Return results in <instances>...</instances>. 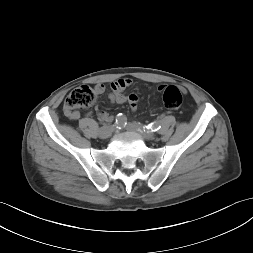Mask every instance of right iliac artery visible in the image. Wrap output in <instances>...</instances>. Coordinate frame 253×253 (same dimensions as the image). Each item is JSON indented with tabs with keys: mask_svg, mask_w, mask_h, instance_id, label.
Returning a JSON list of instances; mask_svg holds the SVG:
<instances>
[{
	"mask_svg": "<svg viewBox=\"0 0 253 253\" xmlns=\"http://www.w3.org/2000/svg\"><path fill=\"white\" fill-rule=\"evenodd\" d=\"M126 124H127V118H126V116L123 115L122 113H119L116 116V120H115V126H116V128L121 129Z\"/></svg>",
	"mask_w": 253,
	"mask_h": 253,
	"instance_id": "right-iliac-artery-1",
	"label": "right iliac artery"
}]
</instances>
